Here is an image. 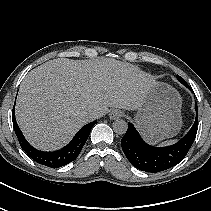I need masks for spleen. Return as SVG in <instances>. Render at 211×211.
Returning a JSON list of instances; mask_svg holds the SVG:
<instances>
[{
    "instance_id": "3e777b00",
    "label": "spleen",
    "mask_w": 211,
    "mask_h": 211,
    "mask_svg": "<svg viewBox=\"0 0 211 211\" xmlns=\"http://www.w3.org/2000/svg\"><path fill=\"white\" fill-rule=\"evenodd\" d=\"M175 141H176V140L164 141V142H162L160 145H161V146L171 145V144H173Z\"/></svg>"
}]
</instances>
